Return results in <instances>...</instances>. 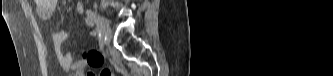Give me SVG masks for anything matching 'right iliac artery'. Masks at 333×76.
Instances as JSON below:
<instances>
[{
    "instance_id": "82829eb1",
    "label": "right iliac artery",
    "mask_w": 333,
    "mask_h": 76,
    "mask_svg": "<svg viewBox=\"0 0 333 76\" xmlns=\"http://www.w3.org/2000/svg\"><path fill=\"white\" fill-rule=\"evenodd\" d=\"M86 14H87V17L93 22V24L96 25V31H97L98 36H99V41H100V43H102L103 42V36H102V31H101V28H100V24H99V19L96 17V14L91 10H87Z\"/></svg>"
}]
</instances>
